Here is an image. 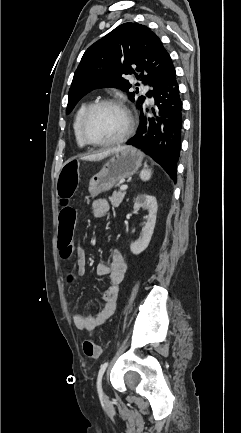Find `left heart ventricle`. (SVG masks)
<instances>
[{
	"label": "left heart ventricle",
	"instance_id": "1",
	"mask_svg": "<svg viewBox=\"0 0 241 433\" xmlns=\"http://www.w3.org/2000/svg\"><path fill=\"white\" fill-rule=\"evenodd\" d=\"M126 128V118L121 109L115 106H103L93 112L87 122V134L99 142L118 138Z\"/></svg>",
	"mask_w": 241,
	"mask_h": 433
}]
</instances>
